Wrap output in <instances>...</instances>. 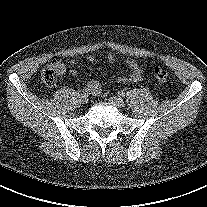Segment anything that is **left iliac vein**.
I'll use <instances>...</instances> for the list:
<instances>
[{"label":"left iliac vein","mask_w":207,"mask_h":207,"mask_svg":"<svg viewBox=\"0 0 207 207\" xmlns=\"http://www.w3.org/2000/svg\"><path fill=\"white\" fill-rule=\"evenodd\" d=\"M109 101L114 104L117 107H123L124 106V100L120 97L113 96L109 99Z\"/></svg>","instance_id":"4c4485c4"}]
</instances>
